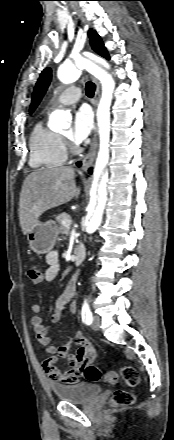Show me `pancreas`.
Wrapping results in <instances>:
<instances>
[{"instance_id":"1","label":"pancreas","mask_w":174,"mask_h":440,"mask_svg":"<svg viewBox=\"0 0 174 440\" xmlns=\"http://www.w3.org/2000/svg\"><path fill=\"white\" fill-rule=\"evenodd\" d=\"M69 218H70V215L68 213H60L59 215L56 216V223L58 226V231L61 234L67 233V227L62 225V221L64 219H69Z\"/></svg>"}]
</instances>
